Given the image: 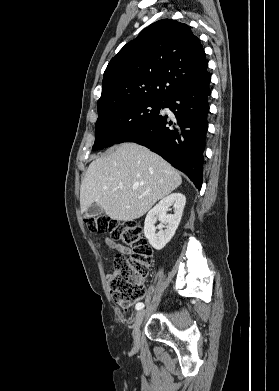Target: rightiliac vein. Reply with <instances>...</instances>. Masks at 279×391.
I'll return each instance as SVG.
<instances>
[{
	"label": "right iliac vein",
	"mask_w": 279,
	"mask_h": 391,
	"mask_svg": "<svg viewBox=\"0 0 279 391\" xmlns=\"http://www.w3.org/2000/svg\"><path fill=\"white\" fill-rule=\"evenodd\" d=\"M145 313L146 312L144 310H140L137 312V314L135 316L132 335H133V339L136 343L139 342V339H140V326L144 320Z\"/></svg>",
	"instance_id": "1"
}]
</instances>
